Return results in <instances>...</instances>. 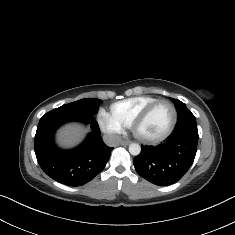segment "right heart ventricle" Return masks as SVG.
Wrapping results in <instances>:
<instances>
[{
    "mask_svg": "<svg viewBox=\"0 0 235 235\" xmlns=\"http://www.w3.org/2000/svg\"><path fill=\"white\" fill-rule=\"evenodd\" d=\"M156 100L158 98L149 94L131 97L113 103L110 112L123 127L130 128L135 118Z\"/></svg>",
    "mask_w": 235,
    "mask_h": 235,
    "instance_id": "obj_1",
    "label": "right heart ventricle"
}]
</instances>
